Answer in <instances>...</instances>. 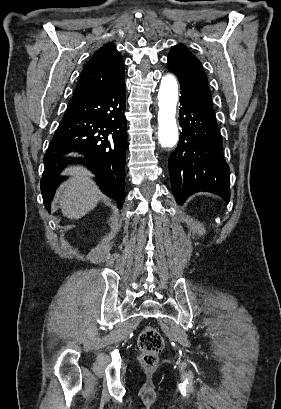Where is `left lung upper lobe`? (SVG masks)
<instances>
[{
  "label": "left lung upper lobe",
  "instance_id": "left-lung-upper-lobe-1",
  "mask_svg": "<svg viewBox=\"0 0 281 409\" xmlns=\"http://www.w3.org/2000/svg\"><path fill=\"white\" fill-rule=\"evenodd\" d=\"M168 70L177 75L181 87L212 103L208 80L200 61L184 46H174L168 54Z\"/></svg>",
  "mask_w": 281,
  "mask_h": 409
}]
</instances>
